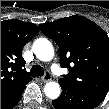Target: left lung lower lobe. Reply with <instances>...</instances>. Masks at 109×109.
<instances>
[{
    "label": "left lung lower lobe",
    "instance_id": "0a47b994",
    "mask_svg": "<svg viewBox=\"0 0 109 109\" xmlns=\"http://www.w3.org/2000/svg\"><path fill=\"white\" fill-rule=\"evenodd\" d=\"M59 84L62 93L58 99L52 101L55 109H94L104 99L67 83L59 82Z\"/></svg>",
    "mask_w": 109,
    "mask_h": 109
}]
</instances>
